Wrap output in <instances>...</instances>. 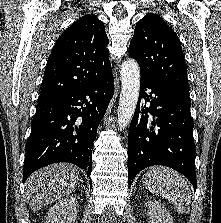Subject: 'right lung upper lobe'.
I'll return each mask as SVG.
<instances>
[{
    "label": "right lung upper lobe",
    "mask_w": 221,
    "mask_h": 223,
    "mask_svg": "<svg viewBox=\"0 0 221 223\" xmlns=\"http://www.w3.org/2000/svg\"><path fill=\"white\" fill-rule=\"evenodd\" d=\"M108 43L105 27L95 14L74 22L49 56L38 103L69 93L112 69Z\"/></svg>",
    "instance_id": "cb5924a9"
}]
</instances>
